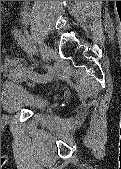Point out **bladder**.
Masks as SVG:
<instances>
[{
  "mask_svg": "<svg viewBox=\"0 0 121 169\" xmlns=\"http://www.w3.org/2000/svg\"><path fill=\"white\" fill-rule=\"evenodd\" d=\"M2 108L10 113L21 110L39 111L46 106L44 97L22 85L6 81L1 89Z\"/></svg>",
  "mask_w": 121,
  "mask_h": 169,
  "instance_id": "bladder-1",
  "label": "bladder"
}]
</instances>
